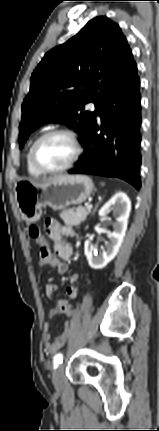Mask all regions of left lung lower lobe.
<instances>
[{"label": "left lung lower lobe", "instance_id": "obj_1", "mask_svg": "<svg viewBox=\"0 0 159 431\" xmlns=\"http://www.w3.org/2000/svg\"><path fill=\"white\" fill-rule=\"evenodd\" d=\"M141 121L140 80L134 61L97 108L82 140L84 153L69 173L117 177L139 189Z\"/></svg>", "mask_w": 159, "mask_h": 431}]
</instances>
